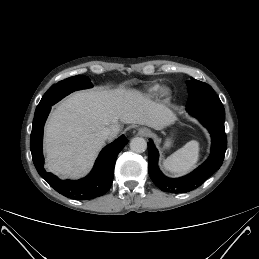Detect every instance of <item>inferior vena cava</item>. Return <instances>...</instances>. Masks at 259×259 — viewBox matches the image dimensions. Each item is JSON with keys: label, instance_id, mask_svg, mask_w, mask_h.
I'll use <instances>...</instances> for the list:
<instances>
[{"label": "inferior vena cava", "instance_id": "obj_1", "mask_svg": "<svg viewBox=\"0 0 259 259\" xmlns=\"http://www.w3.org/2000/svg\"><path fill=\"white\" fill-rule=\"evenodd\" d=\"M97 136L103 140L109 139V137L111 136V129L106 127L103 130H101Z\"/></svg>", "mask_w": 259, "mask_h": 259}]
</instances>
